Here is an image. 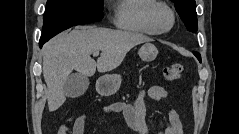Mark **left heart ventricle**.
I'll return each mask as SVG.
<instances>
[{"instance_id": "left-heart-ventricle-1", "label": "left heart ventricle", "mask_w": 239, "mask_h": 134, "mask_svg": "<svg viewBox=\"0 0 239 134\" xmlns=\"http://www.w3.org/2000/svg\"><path fill=\"white\" fill-rule=\"evenodd\" d=\"M156 24L161 29H166L170 26L171 16L165 9H158L155 16Z\"/></svg>"}]
</instances>
